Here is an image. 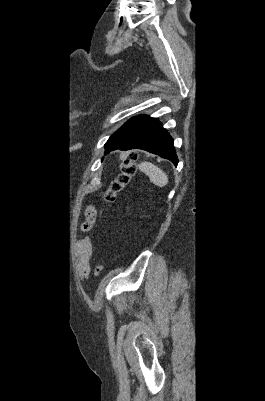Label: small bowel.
<instances>
[{
    "label": "small bowel",
    "mask_w": 265,
    "mask_h": 401,
    "mask_svg": "<svg viewBox=\"0 0 265 401\" xmlns=\"http://www.w3.org/2000/svg\"><path fill=\"white\" fill-rule=\"evenodd\" d=\"M85 220L81 225L83 231L91 229L95 223L97 211L94 206L89 205L85 209ZM93 249L89 238H84L78 243V257H79V269L82 277H86L91 269Z\"/></svg>",
    "instance_id": "1"
}]
</instances>
